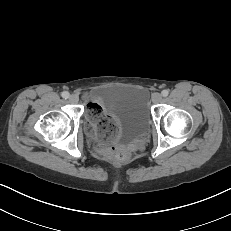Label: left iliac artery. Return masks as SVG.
Returning <instances> with one entry per match:
<instances>
[{
    "mask_svg": "<svg viewBox=\"0 0 231 231\" xmlns=\"http://www.w3.org/2000/svg\"><path fill=\"white\" fill-rule=\"evenodd\" d=\"M161 94H162L163 97H166V96H168L169 91H168L167 89H164V90L161 92Z\"/></svg>",
    "mask_w": 231,
    "mask_h": 231,
    "instance_id": "obj_1",
    "label": "left iliac artery"
}]
</instances>
